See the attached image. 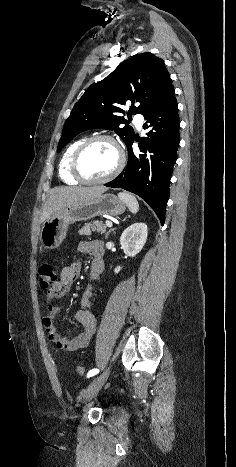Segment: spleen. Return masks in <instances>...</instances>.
I'll use <instances>...</instances> for the list:
<instances>
[{
  "instance_id": "spleen-1",
  "label": "spleen",
  "mask_w": 236,
  "mask_h": 467,
  "mask_svg": "<svg viewBox=\"0 0 236 467\" xmlns=\"http://www.w3.org/2000/svg\"><path fill=\"white\" fill-rule=\"evenodd\" d=\"M118 197L127 205L130 212H132L133 214H136L138 212L139 204L133 195L126 192H120L118 194Z\"/></svg>"
}]
</instances>
